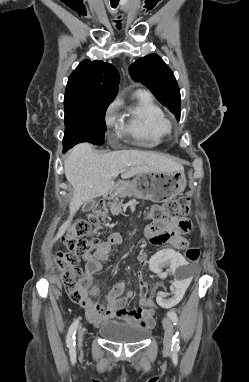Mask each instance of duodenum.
<instances>
[{
  "instance_id": "obj_1",
  "label": "duodenum",
  "mask_w": 249,
  "mask_h": 382,
  "mask_svg": "<svg viewBox=\"0 0 249 382\" xmlns=\"http://www.w3.org/2000/svg\"><path fill=\"white\" fill-rule=\"evenodd\" d=\"M115 189H116V187H112V188H110V189L105 193V198H106V199L113 198L114 195H115Z\"/></svg>"
}]
</instances>
